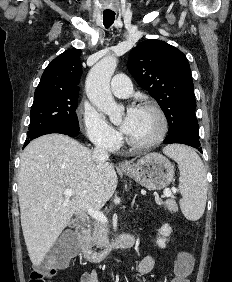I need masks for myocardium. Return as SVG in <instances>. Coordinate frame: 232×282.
I'll return each mask as SVG.
<instances>
[{
	"label": "myocardium",
	"mask_w": 232,
	"mask_h": 282,
	"mask_svg": "<svg viewBox=\"0 0 232 282\" xmlns=\"http://www.w3.org/2000/svg\"><path fill=\"white\" fill-rule=\"evenodd\" d=\"M139 108L151 110L158 116L160 121L159 131L153 139L146 142H136L130 139L128 136L125 137V141L130 147L134 149H139V150L149 149L158 145L164 140L169 127L168 119L163 109L155 102L145 101L139 105Z\"/></svg>",
	"instance_id": "myocardium-1"
}]
</instances>
